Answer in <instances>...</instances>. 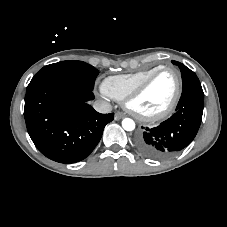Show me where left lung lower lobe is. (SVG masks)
Wrapping results in <instances>:
<instances>
[{
  "label": "left lung lower lobe",
  "instance_id": "1",
  "mask_svg": "<svg viewBox=\"0 0 227 227\" xmlns=\"http://www.w3.org/2000/svg\"><path fill=\"white\" fill-rule=\"evenodd\" d=\"M203 99V92L182 93L175 114L157 127L144 128L137 136V149L149 158L164 159L188 146L201 124Z\"/></svg>",
  "mask_w": 227,
  "mask_h": 227
}]
</instances>
